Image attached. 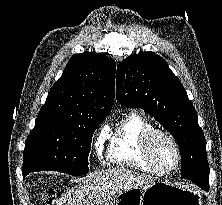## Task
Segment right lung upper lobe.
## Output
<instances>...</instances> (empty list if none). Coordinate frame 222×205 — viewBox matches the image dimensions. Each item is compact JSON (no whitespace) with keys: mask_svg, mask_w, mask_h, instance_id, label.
<instances>
[{"mask_svg":"<svg viewBox=\"0 0 222 205\" xmlns=\"http://www.w3.org/2000/svg\"><path fill=\"white\" fill-rule=\"evenodd\" d=\"M115 70L103 54L73 55L37 118H105L113 106Z\"/></svg>","mask_w":222,"mask_h":205,"instance_id":"obj_1","label":"right lung upper lobe"}]
</instances>
